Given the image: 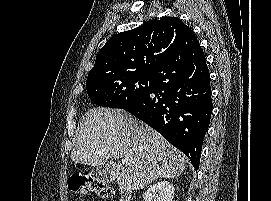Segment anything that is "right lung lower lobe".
I'll return each mask as SVG.
<instances>
[{"label":"right lung lower lobe","mask_w":271,"mask_h":201,"mask_svg":"<svg viewBox=\"0 0 271 201\" xmlns=\"http://www.w3.org/2000/svg\"><path fill=\"white\" fill-rule=\"evenodd\" d=\"M120 108L158 131L199 168L213 104L205 55L194 33L158 67L152 87Z\"/></svg>","instance_id":"obj_1"}]
</instances>
